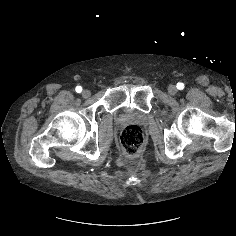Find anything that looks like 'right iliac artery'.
Here are the masks:
<instances>
[{"instance_id":"82829eb1","label":"right iliac artery","mask_w":236,"mask_h":236,"mask_svg":"<svg viewBox=\"0 0 236 236\" xmlns=\"http://www.w3.org/2000/svg\"><path fill=\"white\" fill-rule=\"evenodd\" d=\"M75 90H76L77 93H81L82 92V87L81 86H77L75 88Z\"/></svg>"}]
</instances>
